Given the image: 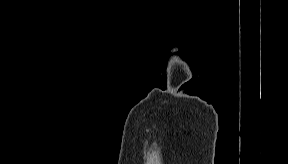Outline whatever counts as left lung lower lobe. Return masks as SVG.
I'll list each match as a JSON object with an SVG mask.
<instances>
[{
  "instance_id": "left-lung-lower-lobe-1",
  "label": "left lung lower lobe",
  "mask_w": 288,
  "mask_h": 164,
  "mask_svg": "<svg viewBox=\"0 0 288 164\" xmlns=\"http://www.w3.org/2000/svg\"><path fill=\"white\" fill-rule=\"evenodd\" d=\"M201 76V88L197 94L202 99L210 102L216 96V87L219 90L226 88L233 80V72L230 69H221L219 72H204ZM216 81V87L212 88L211 83Z\"/></svg>"
}]
</instances>
